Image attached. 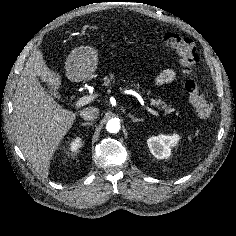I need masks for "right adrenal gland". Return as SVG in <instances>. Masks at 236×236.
<instances>
[{
    "label": "right adrenal gland",
    "instance_id": "2a0ac1e0",
    "mask_svg": "<svg viewBox=\"0 0 236 236\" xmlns=\"http://www.w3.org/2000/svg\"><path fill=\"white\" fill-rule=\"evenodd\" d=\"M93 125V122H84V123H81V126H91Z\"/></svg>",
    "mask_w": 236,
    "mask_h": 236
}]
</instances>
